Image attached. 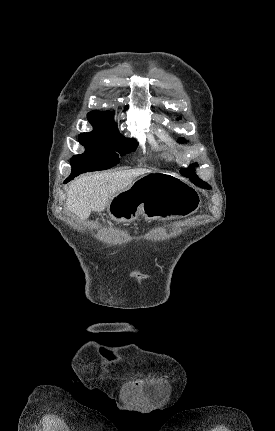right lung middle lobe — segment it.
I'll return each mask as SVG.
<instances>
[{
	"instance_id": "1",
	"label": "right lung middle lobe",
	"mask_w": 275,
	"mask_h": 431,
	"mask_svg": "<svg viewBox=\"0 0 275 431\" xmlns=\"http://www.w3.org/2000/svg\"><path fill=\"white\" fill-rule=\"evenodd\" d=\"M92 125L93 131L79 135V142L86 151L72 157L70 176L111 168L119 163V154L123 156L130 153L138 145L134 139L122 137L114 122Z\"/></svg>"
}]
</instances>
